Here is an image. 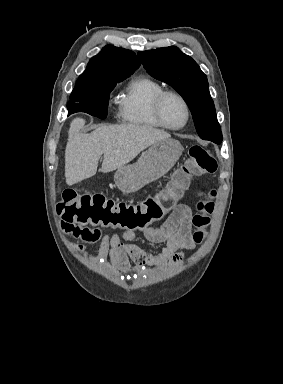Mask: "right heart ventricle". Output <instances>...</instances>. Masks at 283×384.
I'll use <instances>...</instances> for the list:
<instances>
[{"label": "right heart ventricle", "instance_id": "e07e8e85", "mask_svg": "<svg viewBox=\"0 0 283 384\" xmlns=\"http://www.w3.org/2000/svg\"><path fill=\"white\" fill-rule=\"evenodd\" d=\"M164 88L143 75L131 77L118 101V112L122 122L139 129L155 130L161 127L151 115V105Z\"/></svg>", "mask_w": 283, "mask_h": 384}]
</instances>
